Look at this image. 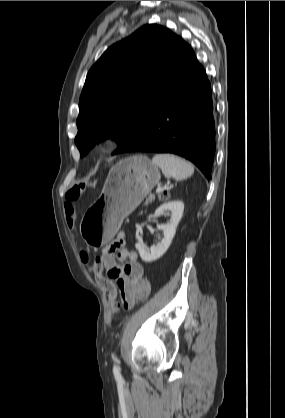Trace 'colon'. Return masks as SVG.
Returning <instances> with one entry per match:
<instances>
[{"label":"colon","mask_w":285,"mask_h":418,"mask_svg":"<svg viewBox=\"0 0 285 418\" xmlns=\"http://www.w3.org/2000/svg\"><path fill=\"white\" fill-rule=\"evenodd\" d=\"M79 194L76 191H69L67 193L68 201L65 204L66 220L70 228L74 227L76 221V211L73 205L74 201L77 200ZM120 243H116V247L119 248ZM81 261L85 265H89L90 269L95 273L99 285L104 289L107 299H108V308L110 311L114 312L117 309L116 304V288L111 278H108L103 275V264L101 259L96 258L92 263L87 253L82 252L80 254ZM137 300H142L139 298ZM134 301H128L124 303L125 308H130L133 305Z\"/></svg>","instance_id":"1"}]
</instances>
